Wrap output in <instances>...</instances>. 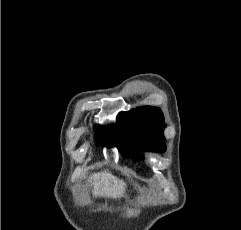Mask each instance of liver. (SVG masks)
I'll list each match as a JSON object with an SVG mask.
<instances>
[{
    "instance_id": "1",
    "label": "liver",
    "mask_w": 241,
    "mask_h": 230,
    "mask_svg": "<svg viewBox=\"0 0 241 230\" xmlns=\"http://www.w3.org/2000/svg\"><path fill=\"white\" fill-rule=\"evenodd\" d=\"M99 180L96 191L105 197L117 198L121 196L125 184L110 173L96 175Z\"/></svg>"
}]
</instances>
